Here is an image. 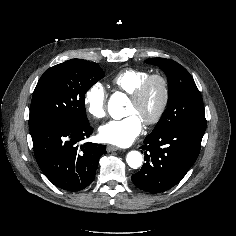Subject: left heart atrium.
<instances>
[{
	"instance_id": "1",
	"label": "left heart atrium",
	"mask_w": 236,
	"mask_h": 236,
	"mask_svg": "<svg viewBox=\"0 0 236 236\" xmlns=\"http://www.w3.org/2000/svg\"><path fill=\"white\" fill-rule=\"evenodd\" d=\"M142 128V119L137 114H131L102 125L99 128V138L105 143L125 147L137 138Z\"/></svg>"
}]
</instances>
